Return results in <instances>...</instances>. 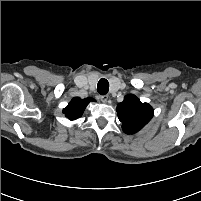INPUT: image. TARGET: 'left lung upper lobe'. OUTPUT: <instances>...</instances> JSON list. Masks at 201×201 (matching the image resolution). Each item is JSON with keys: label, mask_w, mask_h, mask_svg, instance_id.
I'll list each match as a JSON object with an SVG mask.
<instances>
[{"label": "left lung upper lobe", "mask_w": 201, "mask_h": 201, "mask_svg": "<svg viewBox=\"0 0 201 201\" xmlns=\"http://www.w3.org/2000/svg\"><path fill=\"white\" fill-rule=\"evenodd\" d=\"M118 118L126 134H135L153 117V109L148 103H142L135 95L129 94L117 105Z\"/></svg>", "instance_id": "obj_1"}]
</instances>
